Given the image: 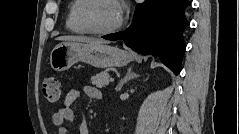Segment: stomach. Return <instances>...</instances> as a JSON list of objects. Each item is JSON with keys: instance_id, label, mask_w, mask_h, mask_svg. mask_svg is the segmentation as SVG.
Wrapping results in <instances>:
<instances>
[{"instance_id": "0dacf381", "label": "stomach", "mask_w": 239, "mask_h": 134, "mask_svg": "<svg viewBox=\"0 0 239 134\" xmlns=\"http://www.w3.org/2000/svg\"><path fill=\"white\" fill-rule=\"evenodd\" d=\"M132 58L128 51L107 44L68 41L53 48L50 65L55 71L67 70L80 61L96 68L122 67Z\"/></svg>"}]
</instances>
